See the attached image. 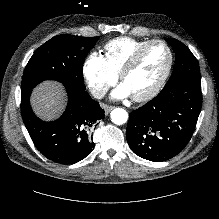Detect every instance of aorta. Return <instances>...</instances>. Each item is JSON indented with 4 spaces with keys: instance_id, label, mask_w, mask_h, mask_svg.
<instances>
[{
    "instance_id": "1",
    "label": "aorta",
    "mask_w": 219,
    "mask_h": 219,
    "mask_svg": "<svg viewBox=\"0 0 219 219\" xmlns=\"http://www.w3.org/2000/svg\"><path fill=\"white\" fill-rule=\"evenodd\" d=\"M111 120L116 125H122L128 120V113L122 108H116L111 112Z\"/></svg>"
}]
</instances>
